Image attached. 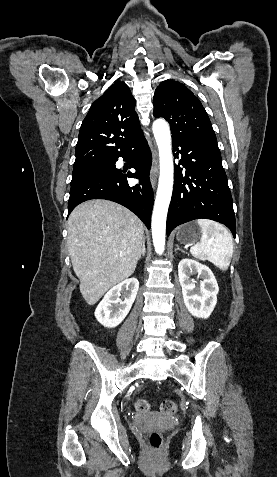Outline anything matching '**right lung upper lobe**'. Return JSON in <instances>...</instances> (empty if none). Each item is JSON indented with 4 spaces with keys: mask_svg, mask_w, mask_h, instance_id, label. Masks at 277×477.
<instances>
[{
    "mask_svg": "<svg viewBox=\"0 0 277 477\" xmlns=\"http://www.w3.org/2000/svg\"><path fill=\"white\" fill-rule=\"evenodd\" d=\"M135 99L124 82L111 85L80 127L73 168L109 161L143 137Z\"/></svg>",
    "mask_w": 277,
    "mask_h": 477,
    "instance_id": "obj_1",
    "label": "right lung upper lobe"
}]
</instances>
